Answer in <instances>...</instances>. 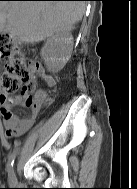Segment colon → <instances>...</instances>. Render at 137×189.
I'll use <instances>...</instances> for the list:
<instances>
[{"instance_id": "colon-1", "label": "colon", "mask_w": 137, "mask_h": 189, "mask_svg": "<svg viewBox=\"0 0 137 189\" xmlns=\"http://www.w3.org/2000/svg\"><path fill=\"white\" fill-rule=\"evenodd\" d=\"M0 61L5 67L0 74V103L20 93L26 96L28 107H35L32 70L39 65L35 59H27L17 44L8 36L0 34Z\"/></svg>"}]
</instances>
